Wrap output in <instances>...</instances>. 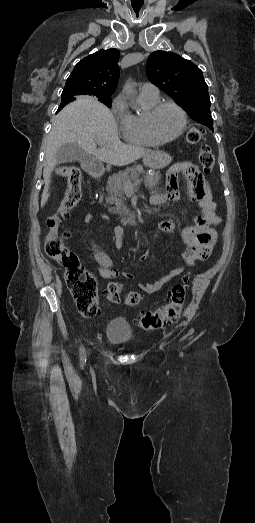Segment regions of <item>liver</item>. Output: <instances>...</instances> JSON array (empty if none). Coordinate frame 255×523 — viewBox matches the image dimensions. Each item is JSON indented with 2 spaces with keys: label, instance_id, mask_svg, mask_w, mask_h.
I'll return each mask as SVG.
<instances>
[{
  "label": "liver",
  "instance_id": "6515ba94",
  "mask_svg": "<svg viewBox=\"0 0 255 523\" xmlns=\"http://www.w3.org/2000/svg\"><path fill=\"white\" fill-rule=\"evenodd\" d=\"M76 142L84 152L92 154L97 160L113 164V166H128L139 158L146 160L149 154H159L162 162H166L168 154L152 152L136 146H127L120 142L116 120L109 108L100 104L96 98L80 96L76 102L63 108L52 122L45 150L46 164L43 170L44 190L41 198V208L45 206L50 194L51 174L59 164L56 152L63 144ZM97 144L101 146L97 150Z\"/></svg>",
  "mask_w": 255,
  "mask_h": 523
}]
</instances>
